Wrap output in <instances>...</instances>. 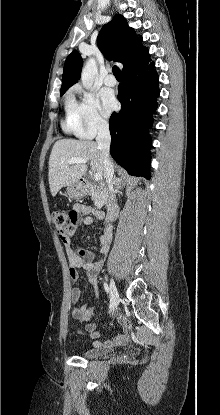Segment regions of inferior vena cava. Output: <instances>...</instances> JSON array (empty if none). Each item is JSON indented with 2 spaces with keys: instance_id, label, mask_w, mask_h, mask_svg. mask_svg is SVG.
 Segmentation results:
<instances>
[{
  "instance_id": "1",
  "label": "inferior vena cava",
  "mask_w": 220,
  "mask_h": 415,
  "mask_svg": "<svg viewBox=\"0 0 220 415\" xmlns=\"http://www.w3.org/2000/svg\"><path fill=\"white\" fill-rule=\"evenodd\" d=\"M110 132H109V125L107 122H100L98 125V134L96 137V142L99 149L102 152V163L104 167V175L106 178V182L109 188L108 194V218L113 220V210L115 207V194H114V167L113 163L110 160Z\"/></svg>"
}]
</instances>
